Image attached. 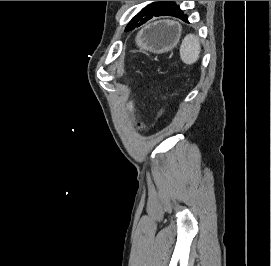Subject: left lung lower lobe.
Instances as JSON below:
<instances>
[{
  "mask_svg": "<svg viewBox=\"0 0 271 266\" xmlns=\"http://www.w3.org/2000/svg\"><path fill=\"white\" fill-rule=\"evenodd\" d=\"M158 16H174L176 18H180L181 20L185 22H188L187 15L184 14V12L179 8V6L175 5L174 8L171 9L170 11L151 12L150 14L142 18L133 28L139 27L140 25L146 23L152 17H158ZM131 29L127 28L126 30H131Z\"/></svg>",
  "mask_w": 271,
  "mask_h": 266,
  "instance_id": "1",
  "label": "left lung lower lobe"
}]
</instances>
